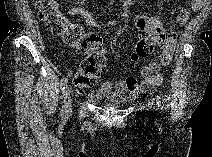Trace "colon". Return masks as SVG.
<instances>
[{
    "mask_svg": "<svg viewBox=\"0 0 212 157\" xmlns=\"http://www.w3.org/2000/svg\"><path fill=\"white\" fill-rule=\"evenodd\" d=\"M39 19L50 31L68 44L78 47L85 55L73 77L74 86L82 91L93 86L106 67V48L99 36L87 33L83 27L67 19L54 0L36 2ZM165 35L149 32L141 36L132 51V59L139 60L151 55L156 46H162Z\"/></svg>",
    "mask_w": 212,
    "mask_h": 157,
    "instance_id": "obj_1",
    "label": "colon"
}]
</instances>
